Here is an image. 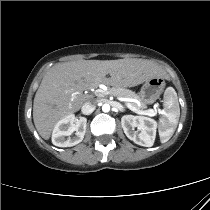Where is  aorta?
<instances>
[{
  "label": "aorta",
  "instance_id": "762f6f07",
  "mask_svg": "<svg viewBox=\"0 0 210 210\" xmlns=\"http://www.w3.org/2000/svg\"><path fill=\"white\" fill-rule=\"evenodd\" d=\"M102 110H103V112H109L110 111V105L109 104H103Z\"/></svg>",
  "mask_w": 210,
  "mask_h": 210
}]
</instances>
